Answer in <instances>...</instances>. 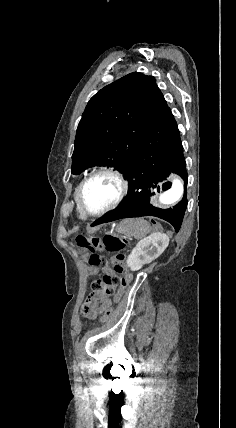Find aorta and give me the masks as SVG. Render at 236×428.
<instances>
[{
  "label": "aorta",
  "mask_w": 236,
  "mask_h": 428,
  "mask_svg": "<svg viewBox=\"0 0 236 428\" xmlns=\"http://www.w3.org/2000/svg\"><path fill=\"white\" fill-rule=\"evenodd\" d=\"M183 192L184 186L182 180L180 178H174L172 187L160 195L159 201L165 205L173 204L182 197Z\"/></svg>",
  "instance_id": "762f6f07"
}]
</instances>
